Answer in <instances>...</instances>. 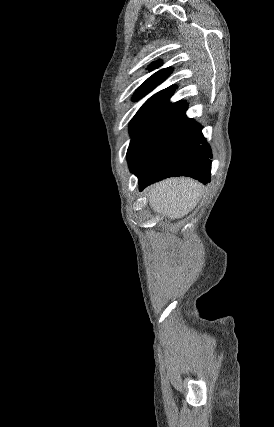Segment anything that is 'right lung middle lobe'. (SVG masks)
I'll use <instances>...</instances> for the list:
<instances>
[{"mask_svg":"<svg viewBox=\"0 0 274 427\" xmlns=\"http://www.w3.org/2000/svg\"><path fill=\"white\" fill-rule=\"evenodd\" d=\"M174 106L160 102L144 104L130 123L132 139L127 152L130 168L135 167L143 158L151 142L160 133L161 128Z\"/></svg>","mask_w":274,"mask_h":427,"instance_id":"1","label":"right lung middle lobe"}]
</instances>
